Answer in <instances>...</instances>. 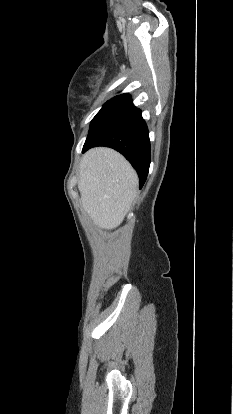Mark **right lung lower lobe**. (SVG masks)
Wrapping results in <instances>:
<instances>
[{
  "instance_id": "obj_1",
  "label": "right lung lower lobe",
  "mask_w": 233,
  "mask_h": 414,
  "mask_svg": "<svg viewBox=\"0 0 233 414\" xmlns=\"http://www.w3.org/2000/svg\"><path fill=\"white\" fill-rule=\"evenodd\" d=\"M147 125L129 94L118 95L104 104L93 118L82 152L106 146L120 152L132 164L144 185L150 165V140Z\"/></svg>"
}]
</instances>
